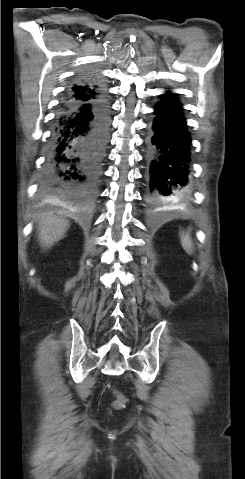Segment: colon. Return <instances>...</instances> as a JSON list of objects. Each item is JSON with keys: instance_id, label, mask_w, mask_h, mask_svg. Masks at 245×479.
<instances>
[{"instance_id": "obj_1", "label": "colon", "mask_w": 245, "mask_h": 479, "mask_svg": "<svg viewBox=\"0 0 245 479\" xmlns=\"http://www.w3.org/2000/svg\"><path fill=\"white\" fill-rule=\"evenodd\" d=\"M114 394H115V397H116L114 406L116 408H122L125 405V402H126L124 396L116 390H114Z\"/></svg>"}]
</instances>
